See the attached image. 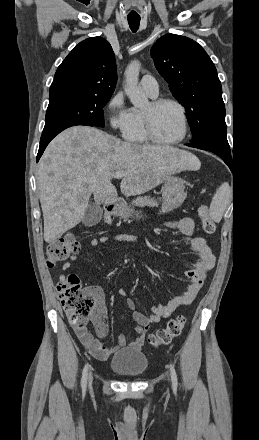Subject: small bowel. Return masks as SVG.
Returning <instances> with one entry per match:
<instances>
[{
	"label": "small bowel",
	"instance_id": "obj_1",
	"mask_svg": "<svg viewBox=\"0 0 259 440\" xmlns=\"http://www.w3.org/2000/svg\"><path fill=\"white\" fill-rule=\"evenodd\" d=\"M167 226L181 235L183 243L188 246L195 255V259L191 262L190 268L185 273L189 284L182 294L177 295L166 304H159L152 307V314L150 316L136 311L133 299L128 298L126 300V307L130 312V317L137 324L135 328L136 337L129 343V346L134 349H140L143 346L146 332L151 324L169 317L177 308L190 304L196 298L198 292L204 285L208 272L212 270L215 265V257L207 245L206 240L201 236L194 235V222L192 219L183 218L178 221L168 222ZM112 240L115 242L136 241L137 238L126 234H119L114 236ZM109 241V237L102 236L93 238L90 241V245L96 247L107 244ZM77 258L78 256L74 254L70 257V260L74 261ZM69 266L70 264L67 262L63 265V269H67ZM64 279L65 276L60 275V280ZM92 289L95 298L93 324L96 336L86 327L75 328V333L83 346L95 359L105 360L114 351V348L104 345L99 340V338L105 337L108 333L107 309L101 289L98 287H92ZM120 294L125 295V291L121 290ZM125 344V337L120 335L118 337V346H124Z\"/></svg>",
	"mask_w": 259,
	"mask_h": 440
}]
</instances>
